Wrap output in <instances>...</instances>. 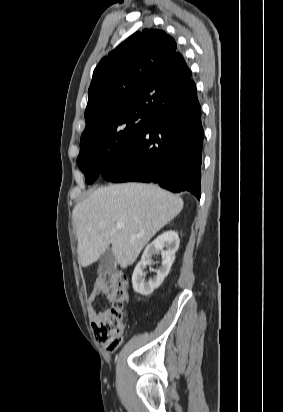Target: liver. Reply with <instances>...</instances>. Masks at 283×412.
<instances>
[{
    "instance_id": "6515ba94",
    "label": "liver",
    "mask_w": 283,
    "mask_h": 412,
    "mask_svg": "<svg viewBox=\"0 0 283 412\" xmlns=\"http://www.w3.org/2000/svg\"><path fill=\"white\" fill-rule=\"evenodd\" d=\"M183 209V200L156 185L125 183L96 189L75 205L72 217L82 267L112 245L121 268L132 265L150 239ZM122 223V228H117Z\"/></svg>"
}]
</instances>
